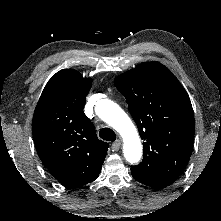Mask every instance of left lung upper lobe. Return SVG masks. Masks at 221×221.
Masks as SVG:
<instances>
[{"label": "left lung upper lobe", "mask_w": 221, "mask_h": 221, "mask_svg": "<svg viewBox=\"0 0 221 221\" xmlns=\"http://www.w3.org/2000/svg\"><path fill=\"white\" fill-rule=\"evenodd\" d=\"M114 83L144 140L143 160L131 167L133 178L151 187L172 184L186 167L194 142V114L187 92L159 62L141 63Z\"/></svg>", "instance_id": "1"}]
</instances>
